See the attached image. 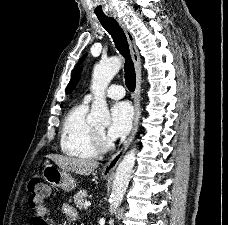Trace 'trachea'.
I'll return each instance as SVG.
<instances>
[{"label": "trachea", "mask_w": 228, "mask_h": 225, "mask_svg": "<svg viewBox=\"0 0 228 225\" xmlns=\"http://www.w3.org/2000/svg\"><path fill=\"white\" fill-rule=\"evenodd\" d=\"M100 23L103 25L105 30H107V32L112 36L117 50H119L120 54L125 58V83L128 90H130V92H133L136 87V73L134 69V64L130 57V51L126 35L117 23V21L114 20V18H101Z\"/></svg>", "instance_id": "trachea-1"}]
</instances>
